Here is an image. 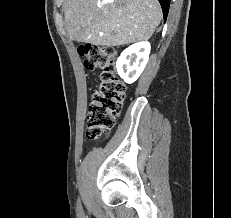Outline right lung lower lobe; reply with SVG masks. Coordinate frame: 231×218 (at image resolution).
I'll return each instance as SVG.
<instances>
[{"label": "right lung lower lobe", "instance_id": "98d812e1", "mask_svg": "<svg viewBox=\"0 0 231 218\" xmlns=\"http://www.w3.org/2000/svg\"><path fill=\"white\" fill-rule=\"evenodd\" d=\"M158 1L160 2V5H161L162 10H163L164 20H166L167 14L169 11L170 0H158Z\"/></svg>", "mask_w": 231, "mask_h": 218}]
</instances>
